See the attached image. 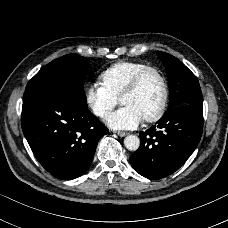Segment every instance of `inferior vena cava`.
<instances>
[{
  "instance_id": "obj_1",
  "label": "inferior vena cava",
  "mask_w": 228,
  "mask_h": 228,
  "mask_svg": "<svg viewBox=\"0 0 228 228\" xmlns=\"http://www.w3.org/2000/svg\"><path fill=\"white\" fill-rule=\"evenodd\" d=\"M98 116H103L104 115V110H100L97 113H95Z\"/></svg>"
}]
</instances>
